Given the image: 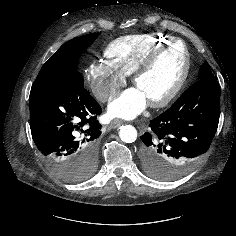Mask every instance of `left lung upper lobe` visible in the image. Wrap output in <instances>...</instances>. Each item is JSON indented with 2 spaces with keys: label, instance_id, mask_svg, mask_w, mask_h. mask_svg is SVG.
I'll list each match as a JSON object with an SVG mask.
<instances>
[{
  "label": "left lung upper lobe",
  "instance_id": "obj_1",
  "mask_svg": "<svg viewBox=\"0 0 236 236\" xmlns=\"http://www.w3.org/2000/svg\"><path fill=\"white\" fill-rule=\"evenodd\" d=\"M213 76L214 75L211 72V67L209 66L207 62H205L200 68L198 80L207 78V77H213Z\"/></svg>",
  "mask_w": 236,
  "mask_h": 236
}]
</instances>
